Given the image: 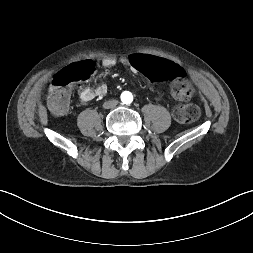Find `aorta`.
I'll return each instance as SVG.
<instances>
[{
  "label": "aorta",
  "mask_w": 253,
  "mask_h": 253,
  "mask_svg": "<svg viewBox=\"0 0 253 253\" xmlns=\"http://www.w3.org/2000/svg\"><path fill=\"white\" fill-rule=\"evenodd\" d=\"M121 100H122L123 103L128 104V103L132 102L133 96L130 92H123L121 94Z\"/></svg>",
  "instance_id": "obj_1"
}]
</instances>
